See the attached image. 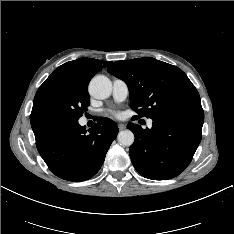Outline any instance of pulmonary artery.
<instances>
[{"label": "pulmonary artery", "instance_id": "1", "mask_svg": "<svg viewBox=\"0 0 234 234\" xmlns=\"http://www.w3.org/2000/svg\"><path fill=\"white\" fill-rule=\"evenodd\" d=\"M129 94L127 83L122 79L113 80V97L117 102L124 101ZM148 126H152V120L148 121Z\"/></svg>", "mask_w": 234, "mask_h": 234}]
</instances>
